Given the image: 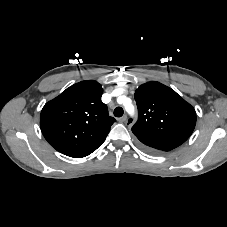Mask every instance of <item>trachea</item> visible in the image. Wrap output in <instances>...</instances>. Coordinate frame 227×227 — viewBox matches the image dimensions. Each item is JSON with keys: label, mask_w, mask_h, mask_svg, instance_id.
Instances as JSON below:
<instances>
[{"label": "trachea", "mask_w": 227, "mask_h": 227, "mask_svg": "<svg viewBox=\"0 0 227 227\" xmlns=\"http://www.w3.org/2000/svg\"><path fill=\"white\" fill-rule=\"evenodd\" d=\"M124 111L121 107H116L114 109V116L115 117H121L123 115Z\"/></svg>", "instance_id": "obj_1"}]
</instances>
